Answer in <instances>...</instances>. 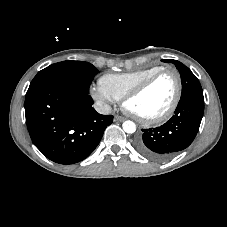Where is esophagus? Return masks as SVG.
Wrapping results in <instances>:
<instances>
[{
  "label": "esophagus",
  "instance_id": "esophagus-1",
  "mask_svg": "<svg viewBox=\"0 0 227 227\" xmlns=\"http://www.w3.org/2000/svg\"><path fill=\"white\" fill-rule=\"evenodd\" d=\"M124 120H125V118L122 117V116H119V115H116V116L114 117V121L122 122V121H124Z\"/></svg>",
  "mask_w": 227,
  "mask_h": 227
}]
</instances>
